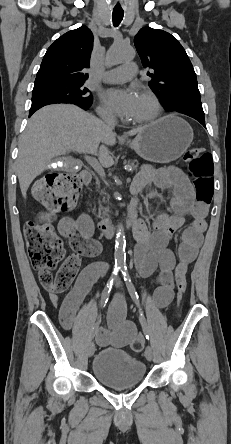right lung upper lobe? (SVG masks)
Instances as JSON below:
<instances>
[{"label":"right lung upper lobe","mask_w":231,"mask_h":444,"mask_svg":"<svg viewBox=\"0 0 231 444\" xmlns=\"http://www.w3.org/2000/svg\"><path fill=\"white\" fill-rule=\"evenodd\" d=\"M93 34L86 26L60 36L47 50L34 87L52 83H82L88 79Z\"/></svg>","instance_id":"1"}]
</instances>
